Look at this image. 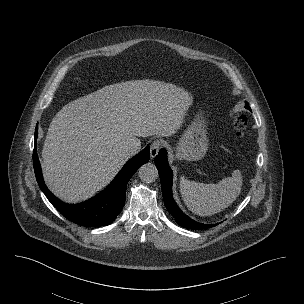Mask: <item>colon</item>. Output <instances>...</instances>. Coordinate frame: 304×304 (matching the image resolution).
Masks as SVG:
<instances>
[{"label":"colon","mask_w":304,"mask_h":304,"mask_svg":"<svg viewBox=\"0 0 304 304\" xmlns=\"http://www.w3.org/2000/svg\"><path fill=\"white\" fill-rule=\"evenodd\" d=\"M231 125L234 135L237 138H243L247 127V119L243 115L234 114L231 119Z\"/></svg>","instance_id":"1"}]
</instances>
